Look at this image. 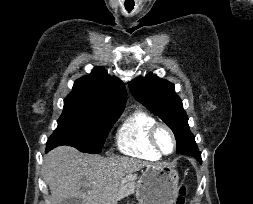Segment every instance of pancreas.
<instances>
[{
  "label": "pancreas",
  "instance_id": "pancreas-1",
  "mask_svg": "<svg viewBox=\"0 0 253 204\" xmlns=\"http://www.w3.org/2000/svg\"><path fill=\"white\" fill-rule=\"evenodd\" d=\"M135 180L136 177L133 176H127L123 178L118 187L119 195L128 196L130 194H133L136 188Z\"/></svg>",
  "mask_w": 253,
  "mask_h": 204
}]
</instances>
